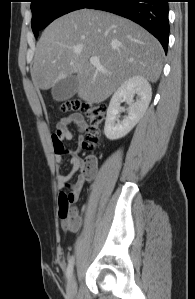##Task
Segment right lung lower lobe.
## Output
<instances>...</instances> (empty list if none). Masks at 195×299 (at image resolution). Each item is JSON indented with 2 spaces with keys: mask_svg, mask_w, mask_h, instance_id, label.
<instances>
[{
  "mask_svg": "<svg viewBox=\"0 0 195 299\" xmlns=\"http://www.w3.org/2000/svg\"><path fill=\"white\" fill-rule=\"evenodd\" d=\"M84 8L108 11L138 23L154 35L167 52L168 0H91Z\"/></svg>",
  "mask_w": 195,
  "mask_h": 299,
  "instance_id": "98d812e1",
  "label": "right lung lower lobe"
}]
</instances>
